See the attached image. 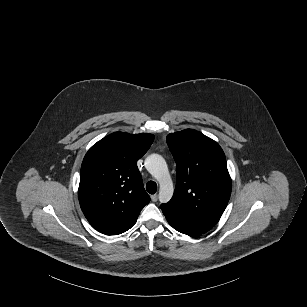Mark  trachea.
<instances>
[{
    "label": "trachea",
    "mask_w": 307,
    "mask_h": 307,
    "mask_svg": "<svg viewBox=\"0 0 307 307\" xmlns=\"http://www.w3.org/2000/svg\"><path fill=\"white\" fill-rule=\"evenodd\" d=\"M146 190L150 193V194H155L157 191V184L154 181H149L146 184Z\"/></svg>",
    "instance_id": "1"
}]
</instances>
